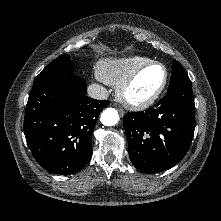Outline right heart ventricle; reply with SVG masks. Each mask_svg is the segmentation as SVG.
Instances as JSON below:
<instances>
[{
    "instance_id": "1",
    "label": "right heart ventricle",
    "mask_w": 221,
    "mask_h": 221,
    "mask_svg": "<svg viewBox=\"0 0 221 221\" xmlns=\"http://www.w3.org/2000/svg\"><path fill=\"white\" fill-rule=\"evenodd\" d=\"M152 61L134 55L123 58H104L98 65V76L105 83L113 86L121 85L136 69Z\"/></svg>"
}]
</instances>
